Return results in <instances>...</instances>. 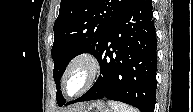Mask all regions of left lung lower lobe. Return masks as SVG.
Wrapping results in <instances>:
<instances>
[{
  "instance_id": "0a47b994",
  "label": "left lung lower lobe",
  "mask_w": 193,
  "mask_h": 112,
  "mask_svg": "<svg viewBox=\"0 0 193 112\" xmlns=\"http://www.w3.org/2000/svg\"><path fill=\"white\" fill-rule=\"evenodd\" d=\"M156 32L151 0H133L112 26L97 55L101 73L92 88L66 103L107 98L154 112Z\"/></svg>"
}]
</instances>
